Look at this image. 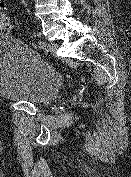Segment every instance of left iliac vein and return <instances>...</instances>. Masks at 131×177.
Here are the masks:
<instances>
[{
    "mask_svg": "<svg viewBox=\"0 0 131 177\" xmlns=\"http://www.w3.org/2000/svg\"><path fill=\"white\" fill-rule=\"evenodd\" d=\"M57 49H58V44H57V43H55V42H49V43L47 44L46 50H47L48 52H50L51 54H55L56 51H57Z\"/></svg>",
    "mask_w": 131,
    "mask_h": 177,
    "instance_id": "1",
    "label": "left iliac vein"
}]
</instances>
